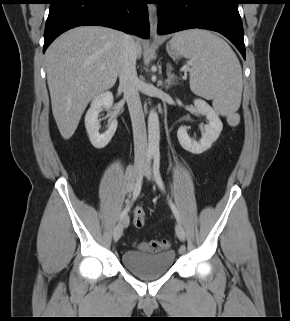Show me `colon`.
I'll use <instances>...</instances> for the list:
<instances>
[{
	"instance_id": "colon-1",
	"label": "colon",
	"mask_w": 290,
	"mask_h": 321,
	"mask_svg": "<svg viewBox=\"0 0 290 321\" xmlns=\"http://www.w3.org/2000/svg\"><path fill=\"white\" fill-rule=\"evenodd\" d=\"M133 224L137 228H141L145 223V212L138 207L133 210ZM170 244L167 240H151L139 245L140 249L148 252H160L167 250Z\"/></svg>"
}]
</instances>
